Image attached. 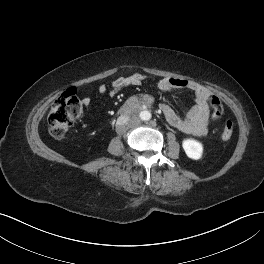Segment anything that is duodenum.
<instances>
[{
	"mask_svg": "<svg viewBox=\"0 0 264 264\" xmlns=\"http://www.w3.org/2000/svg\"><path fill=\"white\" fill-rule=\"evenodd\" d=\"M152 104V99L149 96H144L141 100V102L139 103V107L142 108L143 106H151ZM130 115V110L127 109L122 113V116H125L126 118L129 117Z\"/></svg>",
	"mask_w": 264,
	"mask_h": 264,
	"instance_id": "1",
	"label": "duodenum"
}]
</instances>
